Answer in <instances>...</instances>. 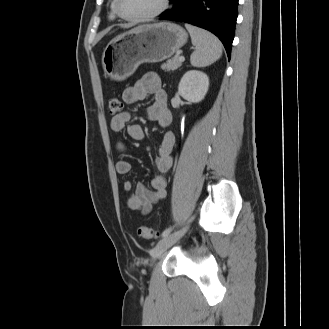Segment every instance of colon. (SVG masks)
I'll use <instances>...</instances> for the list:
<instances>
[{
	"label": "colon",
	"mask_w": 329,
	"mask_h": 329,
	"mask_svg": "<svg viewBox=\"0 0 329 329\" xmlns=\"http://www.w3.org/2000/svg\"><path fill=\"white\" fill-rule=\"evenodd\" d=\"M123 104L119 97L111 96L108 99V110L110 114H119L122 110ZM137 235L144 239H155L158 232L147 226H139L137 228Z\"/></svg>",
	"instance_id": "5ec220e1"
}]
</instances>
